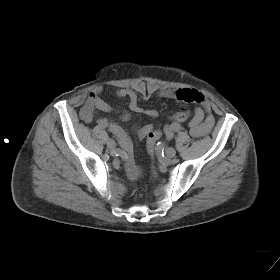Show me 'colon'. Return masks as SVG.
<instances>
[{"mask_svg":"<svg viewBox=\"0 0 280 280\" xmlns=\"http://www.w3.org/2000/svg\"><path fill=\"white\" fill-rule=\"evenodd\" d=\"M189 113L186 110H182L180 112H177L171 117L172 121H184L188 118ZM162 135L161 130L155 129L151 130L147 134V151L151 157H154L156 150H157V142L160 139Z\"/></svg>","mask_w":280,"mask_h":280,"instance_id":"5ec220e1","label":"colon"}]
</instances>
